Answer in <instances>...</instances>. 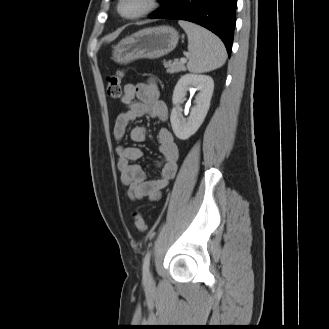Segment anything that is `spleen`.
Returning <instances> with one entry per match:
<instances>
[{
    "mask_svg": "<svg viewBox=\"0 0 329 329\" xmlns=\"http://www.w3.org/2000/svg\"><path fill=\"white\" fill-rule=\"evenodd\" d=\"M188 37L190 59L187 69L193 73L215 70L226 61V49L222 41L207 29L188 21H179Z\"/></svg>",
    "mask_w": 329,
    "mask_h": 329,
    "instance_id": "3e777b00",
    "label": "spleen"
}]
</instances>
